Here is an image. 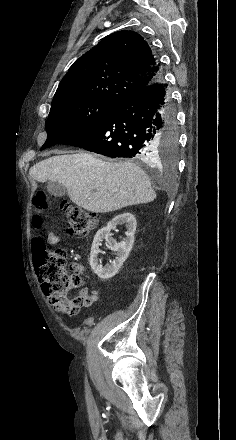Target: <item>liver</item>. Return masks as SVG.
Segmentation results:
<instances>
[{
    "mask_svg": "<svg viewBox=\"0 0 236 440\" xmlns=\"http://www.w3.org/2000/svg\"><path fill=\"white\" fill-rule=\"evenodd\" d=\"M29 174L41 183L63 184L73 203L93 213H108L156 198L139 166L129 161H103L86 152L47 158L31 167Z\"/></svg>",
    "mask_w": 236,
    "mask_h": 440,
    "instance_id": "obj_1",
    "label": "liver"
}]
</instances>
